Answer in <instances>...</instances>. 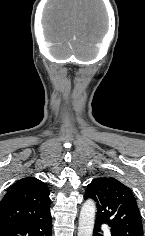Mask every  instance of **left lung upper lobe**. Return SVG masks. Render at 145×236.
Listing matches in <instances>:
<instances>
[{"mask_svg": "<svg viewBox=\"0 0 145 236\" xmlns=\"http://www.w3.org/2000/svg\"><path fill=\"white\" fill-rule=\"evenodd\" d=\"M85 199L97 205V219L111 228L112 236H143L140 212L132 191L113 177L102 176L87 186Z\"/></svg>", "mask_w": 145, "mask_h": 236, "instance_id": "5c2ea615", "label": "left lung upper lobe"}]
</instances>
